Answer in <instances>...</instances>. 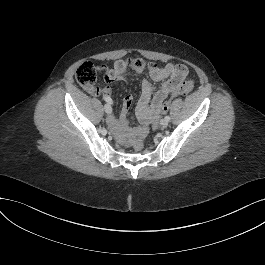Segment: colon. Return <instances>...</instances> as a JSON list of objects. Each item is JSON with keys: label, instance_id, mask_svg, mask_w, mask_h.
I'll return each instance as SVG.
<instances>
[{"label": "colon", "instance_id": "obj_1", "mask_svg": "<svg viewBox=\"0 0 265 265\" xmlns=\"http://www.w3.org/2000/svg\"><path fill=\"white\" fill-rule=\"evenodd\" d=\"M129 69L135 72H142L145 69H152L153 64L147 63L142 59L135 58L128 62ZM99 67L91 62H83L76 69V80L85 89L89 90L94 87L97 79V72ZM194 80L192 78L184 79L171 93L169 99L163 102L159 111L164 113L169 109L171 100L179 95H185L194 88ZM134 149L138 152L145 148V141L143 137H139L134 141Z\"/></svg>", "mask_w": 265, "mask_h": 265}]
</instances>
